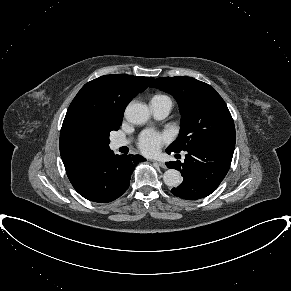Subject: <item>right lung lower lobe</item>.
<instances>
[{"instance_id":"98d812e1","label":"right lung lower lobe","mask_w":291,"mask_h":291,"mask_svg":"<svg viewBox=\"0 0 291 291\" xmlns=\"http://www.w3.org/2000/svg\"><path fill=\"white\" fill-rule=\"evenodd\" d=\"M146 159L140 155H114L109 151L87 166L73 181L75 190L93 202H112L129 187L134 167Z\"/></svg>"}]
</instances>
